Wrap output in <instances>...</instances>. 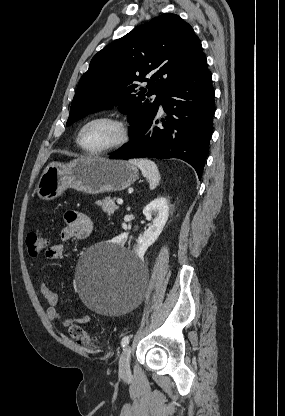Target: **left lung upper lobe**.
<instances>
[{"instance_id":"5c2ea615","label":"left lung upper lobe","mask_w":285,"mask_h":416,"mask_svg":"<svg viewBox=\"0 0 285 416\" xmlns=\"http://www.w3.org/2000/svg\"><path fill=\"white\" fill-rule=\"evenodd\" d=\"M204 56L192 27L162 14L99 51L79 81L66 125L89 113L118 109L128 116L130 137L158 111L167 91ZM146 76L149 79L145 78ZM146 81V88L139 82ZM156 94L152 102L145 96Z\"/></svg>"}]
</instances>
